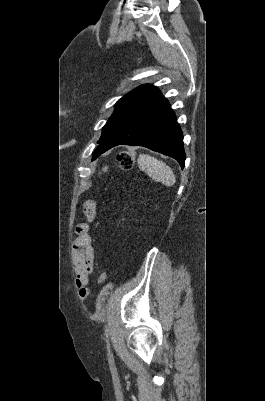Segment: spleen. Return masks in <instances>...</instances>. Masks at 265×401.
<instances>
[{"label": "spleen", "mask_w": 265, "mask_h": 401, "mask_svg": "<svg viewBox=\"0 0 265 401\" xmlns=\"http://www.w3.org/2000/svg\"><path fill=\"white\" fill-rule=\"evenodd\" d=\"M138 166L141 170H145L149 176H152L157 182H162L166 186H172L176 182L175 174L162 160H157L155 156L149 154H139Z\"/></svg>", "instance_id": "1"}]
</instances>
